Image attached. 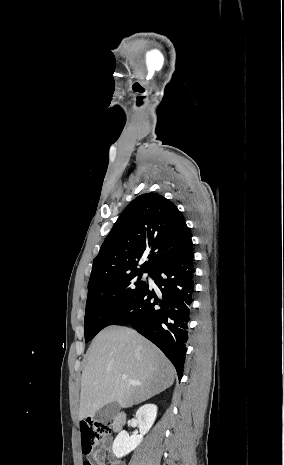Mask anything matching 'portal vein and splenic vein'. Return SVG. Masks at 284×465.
Returning <instances> with one entry per match:
<instances>
[{"label":"portal vein and splenic vein","mask_w":284,"mask_h":465,"mask_svg":"<svg viewBox=\"0 0 284 465\" xmlns=\"http://www.w3.org/2000/svg\"><path fill=\"white\" fill-rule=\"evenodd\" d=\"M121 379H123V381H129V383H136V381H132V379H128L127 375H121Z\"/></svg>","instance_id":"1"}]
</instances>
